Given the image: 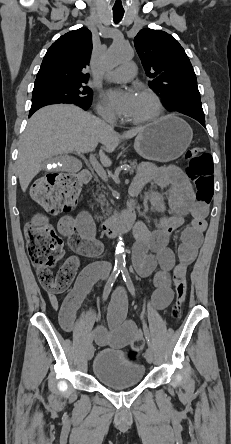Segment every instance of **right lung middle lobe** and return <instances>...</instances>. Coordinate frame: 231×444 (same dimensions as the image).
<instances>
[{"mask_svg": "<svg viewBox=\"0 0 231 444\" xmlns=\"http://www.w3.org/2000/svg\"><path fill=\"white\" fill-rule=\"evenodd\" d=\"M92 101V90L85 84L51 83L34 86L32 107L55 103H73L89 108Z\"/></svg>", "mask_w": 231, "mask_h": 444, "instance_id": "right-lung-middle-lobe-1", "label": "right lung middle lobe"}]
</instances>
